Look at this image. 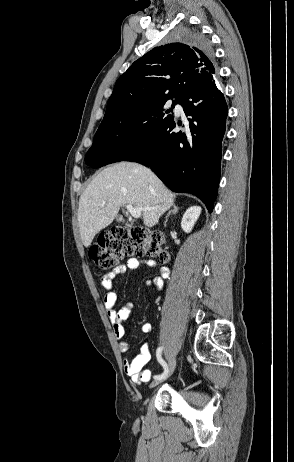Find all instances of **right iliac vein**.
<instances>
[{
  "label": "right iliac vein",
  "instance_id": "right-iliac-vein-1",
  "mask_svg": "<svg viewBox=\"0 0 294 462\" xmlns=\"http://www.w3.org/2000/svg\"><path fill=\"white\" fill-rule=\"evenodd\" d=\"M175 367H176V358L175 357H170L169 361H168V372H167L166 378H168L174 372ZM165 379H163V380H165ZM163 380H154L150 384V388H153V387L157 386Z\"/></svg>",
  "mask_w": 294,
  "mask_h": 462
}]
</instances>
